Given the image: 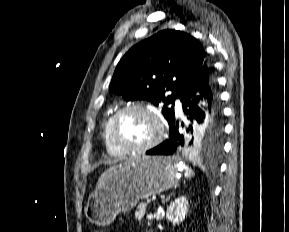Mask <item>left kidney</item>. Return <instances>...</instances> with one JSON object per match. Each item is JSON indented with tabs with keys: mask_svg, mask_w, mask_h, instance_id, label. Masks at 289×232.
<instances>
[{
	"mask_svg": "<svg viewBox=\"0 0 289 232\" xmlns=\"http://www.w3.org/2000/svg\"><path fill=\"white\" fill-rule=\"evenodd\" d=\"M188 213V199L185 196L178 197L167 207V219L175 226L184 221Z\"/></svg>",
	"mask_w": 289,
	"mask_h": 232,
	"instance_id": "5707ae66",
	"label": "left kidney"
}]
</instances>
